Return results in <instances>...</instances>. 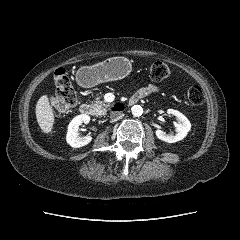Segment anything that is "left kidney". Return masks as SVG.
Returning <instances> with one entry per match:
<instances>
[{"label":"left kidney","mask_w":240,"mask_h":240,"mask_svg":"<svg viewBox=\"0 0 240 240\" xmlns=\"http://www.w3.org/2000/svg\"><path fill=\"white\" fill-rule=\"evenodd\" d=\"M167 113L169 115L175 116L177 119V122H174V126L176 128V134L168 135L160 129H157L155 133H156V136L160 140L168 142V143H175L177 141L182 140L183 138H185L187 136L188 132L191 129V123L186 116H184L182 113H180L177 110L168 109Z\"/></svg>","instance_id":"obj_1"}]
</instances>
